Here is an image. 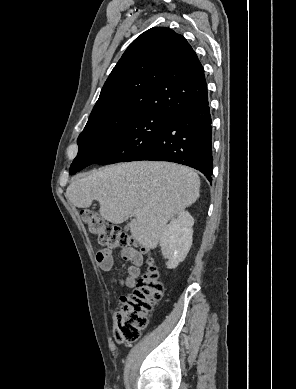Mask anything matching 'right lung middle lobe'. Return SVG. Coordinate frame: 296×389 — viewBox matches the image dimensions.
<instances>
[{
  "mask_svg": "<svg viewBox=\"0 0 296 389\" xmlns=\"http://www.w3.org/2000/svg\"><path fill=\"white\" fill-rule=\"evenodd\" d=\"M170 116L126 110L90 118L79 135L78 155L70 171L86 164L135 161L166 128Z\"/></svg>",
  "mask_w": 296,
  "mask_h": 389,
  "instance_id": "1",
  "label": "right lung middle lobe"
}]
</instances>
